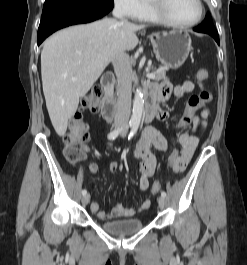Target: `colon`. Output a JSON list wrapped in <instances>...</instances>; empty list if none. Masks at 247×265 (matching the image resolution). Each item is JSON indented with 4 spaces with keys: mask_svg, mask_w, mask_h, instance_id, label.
<instances>
[{
    "mask_svg": "<svg viewBox=\"0 0 247 265\" xmlns=\"http://www.w3.org/2000/svg\"><path fill=\"white\" fill-rule=\"evenodd\" d=\"M197 79L201 87V91L197 96L189 99L186 110L180 118L177 128L184 129L192 123L196 110L212 99L211 92L204 86V82L208 79V72L205 69H199ZM102 91L99 87H94L87 93L81 102V109L96 112L101 106ZM89 138V129L85 123L81 112H77L69 121L68 129L63 138L64 157L71 164H77L84 157L83 144ZM179 151L172 149L168 157L167 170H174V166L178 160ZM162 179H156L151 187V193H157L162 187Z\"/></svg>",
    "mask_w": 247,
    "mask_h": 265,
    "instance_id": "5ec220e1",
    "label": "colon"
}]
</instances>
